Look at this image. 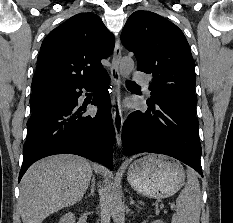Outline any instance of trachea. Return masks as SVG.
<instances>
[{"label":"trachea","mask_w":233,"mask_h":223,"mask_svg":"<svg viewBox=\"0 0 233 223\" xmlns=\"http://www.w3.org/2000/svg\"><path fill=\"white\" fill-rule=\"evenodd\" d=\"M127 84L128 85H137L135 82H132V81H127Z\"/></svg>","instance_id":"1"}]
</instances>
